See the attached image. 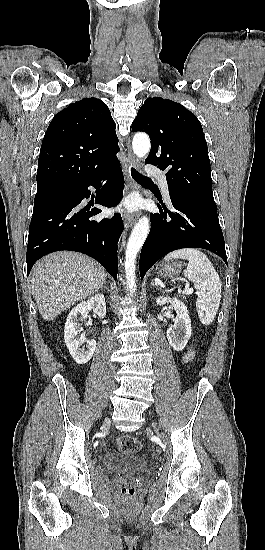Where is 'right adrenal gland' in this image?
Returning a JSON list of instances; mask_svg holds the SVG:
<instances>
[{
  "instance_id": "2a0ac1e0",
  "label": "right adrenal gland",
  "mask_w": 265,
  "mask_h": 550,
  "mask_svg": "<svg viewBox=\"0 0 265 550\" xmlns=\"http://www.w3.org/2000/svg\"><path fill=\"white\" fill-rule=\"evenodd\" d=\"M101 288H104V289H106V290L108 289V288L106 287V281L104 282V284H103V286H102Z\"/></svg>"
}]
</instances>
